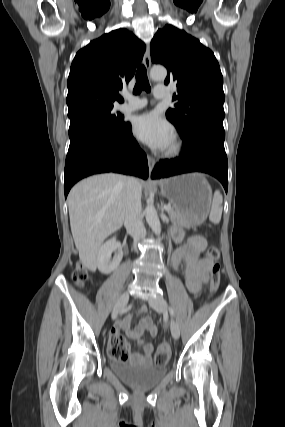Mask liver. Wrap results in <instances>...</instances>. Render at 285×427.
<instances>
[{
    "instance_id": "obj_1",
    "label": "liver",
    "mask_w": 285,
    "mask_h": 427,
    "mask_svg": "<svg viewBox=\"0 0 285 427\" xmlns=\"http://www.w3.org/2000/svg\"><path fill=\"white\" fill-rule=\"evenodd\" d=\"M127 182L119 174L96 175L76 184L68 195L75 246L81 262L91 270L103 241L124 223Z\"/></svg>"
}]
</instances>
